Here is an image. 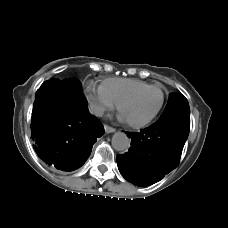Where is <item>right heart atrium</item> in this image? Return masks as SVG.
Instances as JSON below:
<instances>
[{"label":"right heart atrium","instance_id":"d8ad5b80","mask_svg":"<svg viewBox=\"0 0 228 228\" xmlns=\"http://www.w3.org/2000/svg\"><path fill=\"white\" fill-rule=\"evenodd\" d=\"M86 93L90 105L96 114L100 115L114 108V103L104 94L101 87L95 90L94 87L89 84Z\"/></svg>","mask_w":228,"mask_h":228}]
</instances>
